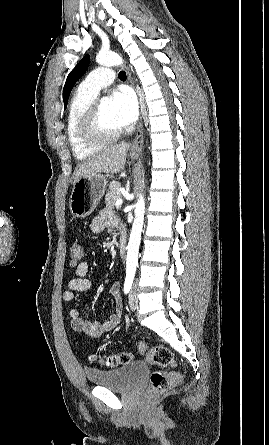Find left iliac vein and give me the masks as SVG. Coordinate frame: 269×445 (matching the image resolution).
Returning <instances> with one entry per match:
<instances>
[{"label":"left iliac vein","instance_id":"obj_1","mask_svg":"<svg viewBox=\"0 0 269 445\" xmlns=\"http://www.w3.org/2000/svg\"><path fill=\"white\" fill-rule=\"evenodd\" d=\"M129 305H130L131 310H136L138 307L136 285L133 286L131 293L129 295Z\"/></svg>","mask_w":269,"mask_h":445}]
</instances>
